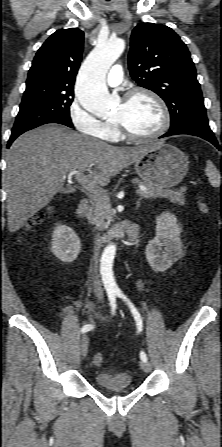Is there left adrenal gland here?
Wrapping results in <instances>:
<instances>
[{"label":"left adrenal gland","mask_w":222,"mask_h":447,"mask_svg":"<svg viewBox=\"0 0 222 447\" xmlns=\"http://www.w3.org/2000/svg\"><path fill=\"white\" fill-rule=\"evenodd\" d=\"M140 206V199L136 202V209Z\"/></svg>","instance_id":"obj_1"}]
</instances>
